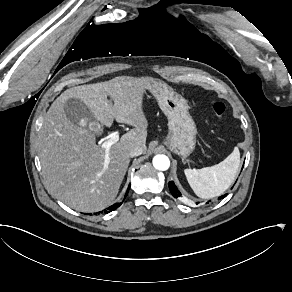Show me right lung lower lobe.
I'll use <instances>...</instances> for the list:
<instances>
[{"label": "right lung lower lobe", "mask_w": 292, "mask_h": 292, "mask_svg": "<svg viewBox=\"0 0 292 292\" xmlns=\"http://www.w3.org/2000/svg\"><path fill=\"white\" fill-rule=\"evenodd\" d=\"M128 191H129V189L127 190L125 196H127ZM121 204H122V203H115V204H113L112 206L108 207L107 210H105V212H106V213H109V212H111V211L117 209Z\"/></svg>", "instance_id": "obj_1"}]
</instances>
